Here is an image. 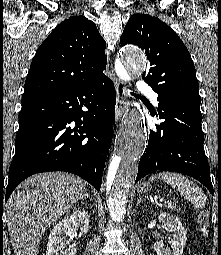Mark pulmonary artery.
<instances>
[{
  "label": "pulmonary artery",
  "mask_w": 221,
  "mask_h": 255,
  "mask_svg": "<svg viewBox=\"0 0 221 255\" xmlns=\"http://www.w3.org/2000/svg\"><path fill=\"white\" fill-rule=\"evenodd\" d=\"M137 90L139 93L149 96L151 98L152 102L154 103V105H156V106L158 105L157 95L153 91L152 87L147 82L139 81L137 83Z\"/></svg>",
  "instance_id": "pulmonary-artery-1"
}]
</instances>
